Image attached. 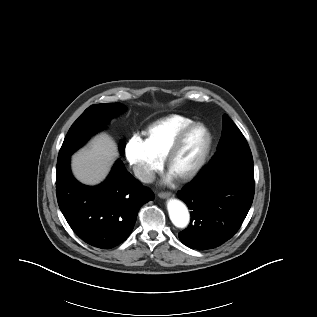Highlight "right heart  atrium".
<instances>
[{"mask_svg": "<svg viewBox=\"0 0 317 317\" xmlns=\"http://www.w3.org/2000/svg\"><path fill=\"white\" fill-rule=\"evenodd\" d=\"M125 155L135 176L145 183L150 182L162 166V159L153 154L139 136L130 138L125 148Z\"/></svg>", "mask_w": 317, "mask_h": 317, "instance_id": "d8ad5b80", "label": "right heart atrium"}]
</instances>
